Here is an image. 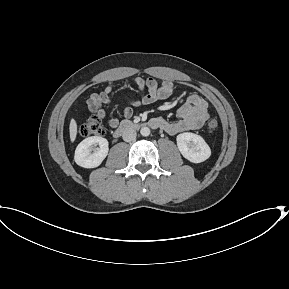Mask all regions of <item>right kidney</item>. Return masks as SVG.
Masks as SVG:
<instances>
[{
	"mask_svg": "<svg viewBox=\"0 0 289 289\" xmlns=\"http://www.w3.org/2000/svg\"><path fill=\"white\" fill-rule=\"evenodd\" d=\"M99 145V147H96ZM94 151V152H92ZM108 141L100 136H91L79 143L74 160L84 168L98 167L108 155Z\"/></svg>",
	"mask_w": 289,
	"mask_h": 289,
	"instance_id": "right-kidney-1",
	"label": "right kidney"
}]
</instances>
